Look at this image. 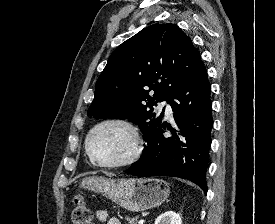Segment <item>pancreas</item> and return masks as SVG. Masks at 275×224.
Returning a JSON list of instances; mask_svg holds the SVG:
<instances>
[{"label": "pancreas", "instance_id": "1", "mask_svg": "<svg viewBox=\"0 0 275 224\" xmlns=\"http://www.w3.org/2000/svg\"><path fill=\"white\" fill-rule=\"evenodd\" d=\"M139 217H127L126 221L128 222V224H137Z\"/></svg>", "mask_w": 275, "mask_h": 224}]
</instances>
